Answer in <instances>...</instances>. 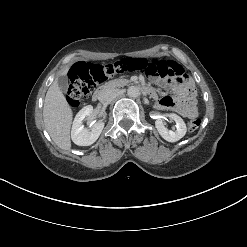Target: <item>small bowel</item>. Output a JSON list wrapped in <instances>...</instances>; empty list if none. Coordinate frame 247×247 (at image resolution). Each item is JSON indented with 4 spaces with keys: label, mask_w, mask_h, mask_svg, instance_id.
Returning <instances> with one entry per match:
<instances>
[{
    "label": "small bowel",
    "mask_w": 247,
    "mask_h": 247,
    "mask_svg": "<svg viewBox=\"0 0 247 247\" xmlns=\"http://www.w3.org/2000/svg\"><path fill=\"white\" fill-rule=\"evenodd\" d=\"M139 72L153 83L170 88L172 95L161 97L156 103L158 109L171 110L188 118L196 116L194 88L178 63L164 59L147 60V64ZM151 94L157 96L156 91L151 90Z\"/></svg>",
    "instance_id": "1"
}]
</instances>
